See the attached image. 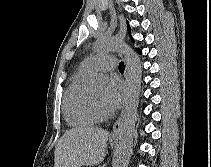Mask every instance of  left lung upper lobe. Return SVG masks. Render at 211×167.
Segmentation results:
<instances>
[{
	"label": "left lung upper lobe",
	"mask_w": 211,
	"mask_h": 167,
	"mask_svg": "<svg viewBox=\"0 0 211 167\" xmlns=\"http://www.w3.org/2000/svg\"><path fill=\"white\" fill-rule=\"evenodd\" d=\"M128 31H129V34H130V26H129V24H128ZM131 39H132V41H134L132 37H131Z\"/></svg>",
	"instance_id": "5c2ea615"
}]
</instances>
